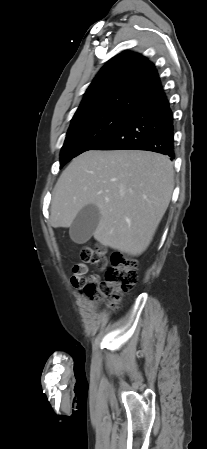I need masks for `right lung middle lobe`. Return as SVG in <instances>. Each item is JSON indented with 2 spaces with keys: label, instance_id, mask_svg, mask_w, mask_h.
Here are the masks:
<instances>
[{
  "label": "right lung middle lobe",
  "instance_id": "1",
  "mask_svg": "<svg viewBox=\"0 0 207 449\" xmlns=\"http://www.w3.org/2000/svg\"><path fill=\"white\" fill-rule=\"evenodd\" d=\"M133 113L126 109H112L73 118L61 149L60 168L122 127Z\"/></svg>",
  "mask_w": 207,
  "mask_h": 449
}]
</instances>
